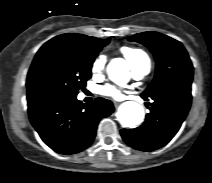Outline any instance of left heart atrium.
I'll list each match as a JSON object with an SVG mask.
<instances>
[{"instance_id": "left-heart-atrium-1", "label": "left heart atrium", "mask_w": 212, "mask_h": 183, "mask_svg": "<svg viewBox=\"0 0 212 183\" xmlns=\"http://www.w3.org/2000/svg\"><path fill=\"white\" fill-rule=\"evenodd\" d=\"M100 93L104 96L112 97L115 99L121 98L124 94L122 89L113 85L102 86L100 89Z\"/></svg>"}]
</instances>
